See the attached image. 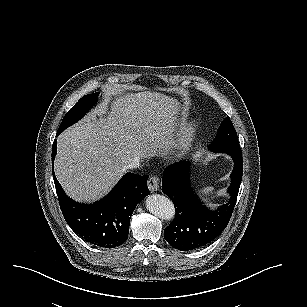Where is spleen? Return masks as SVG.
<instances>
[{
  "instance_id": "spleen-1",
  "label": "spleen",
  "mask_w": 307,
  "mask_h": 307,
  "mask_svg": "<svg viewBox=\"0 0 307 307\" xmlns=\"http://www.w3.org/2000/svg\"><path fill=\"white\" fill-rule=\"evenodd\" d=\"M213 190H214L213 187H206V188H203L200 192L205 195H210L213 193Z\"/></svg>"
}]
</instances>
